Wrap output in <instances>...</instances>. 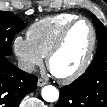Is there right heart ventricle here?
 <instances>
[{
  "label": "right heart ventricle",
  "instance_id": "right-heart-ventricle-1",
  "mask_svg": "<svg viewBox=\"0 0 107 107\" xmlns=\"http://www.w3.org/2000/svg\"><path fill=\"white\" fill-rule=\"evenodd\" d=\"M76 18L78 16L71 13L44 17L30 25L27 30V38L45 57L63 28Z\"/></svg>",
  "mask_w": 107,
  "mask_h": 107
}]
</instances>
